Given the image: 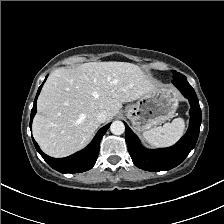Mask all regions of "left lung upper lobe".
<instances>
[{
	"label": "left lung upper lobe",
	"mask_w": 224,
	"mask_h": 224,
	"mask_svg": "<svg viewBox=\"0 0 224 224\" xmlns=\"http://www.w3.org/2000/svg\"><path fill=\"white\" fill-rule=\"evenodd\" d=\"M172 73H173V79H176V78H178V77H180L182 75V74H180V73H178L176 71H172Z\"/></svg>",
	"instance_id": "left-lung-upper-lobe-1"
}]
</instances>
